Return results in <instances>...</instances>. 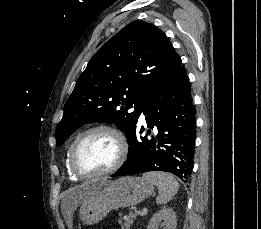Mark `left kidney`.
Returning a JSON list of instances; mask_svg holds the SVG:
<instances>
[{"label": "left kidney", "instance_id": "1", "mask_svg": "<svg viewBox=\"0 0 261 229\" xmlns=\"http://www.w3.org/2000/svg\"><path fill=\"white\" fill-rule=\"evenodd\" d=\"M176 213L173 209H161L158 213L153 215L152 219H150V223L147 229H155L158 225H162L164 229H176Z\"/></svg>", "mask_w": 261, "mask_h": 229}]
</instances>
